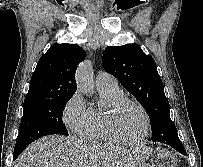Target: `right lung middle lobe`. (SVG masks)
I'll return each mask as SVG.
<instances>
[{
    "label": "right lung middle lobe",
    "mask_w": 203,
    "mask_h": 167,
    "mask_svg": "<svg viewBox=\"0 0 203 167\" xmlns=\"http://www.w3.org/2000/svg\"><path fill=\"white\" fill-rule=\"evenodd\" d=\"M71 97L24 102L23 117L14 155L23 151L31 142L42 136L50 134L68 135L62 116L66 103Z\"/></svg>",
    "instance_id": "right-lung-middle-lobe-1"
}]
</instances>
